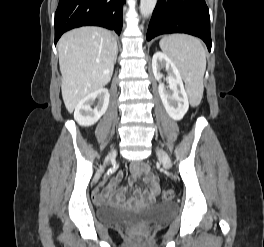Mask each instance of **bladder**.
<instances>
[{"label": "bladder", "mask_w": 264, "mask_h": 247, "mask_svg": "<svg viewBox=\"0 0 264 247\" xmlns=\"http://www.w3.org/2000/svg\"><path fill=\"white\" fill-rule=\"evenodd\" d=\"M172 215L170 208L165 206H151L142 209L123 207H100L97 210L99 222L118 226H145L168 220Z\"/></svg>", "instance_id": "31cf9c89"}]
</instances>
